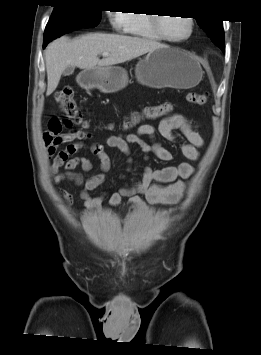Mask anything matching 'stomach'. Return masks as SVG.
<instances>
[{"instance_id": "obj_1", "label": "stomach", "mask_w": 261, "mask_h": 355, "mask_svg": "<svg viewBox=\"0 0 261 355\" xmlns=\"http://www.w3.org/2000/svg\"><path fill=\"white\" fill-rule=\"evenodd\" d=\"M138 81L153 88H181L196 86L202 79L200 63L185 51L163 46L150 51L136 65ZM81 84L95 87L104 93L123 89L128 82L127 71L120 66L96 67L83 73Z\"/></svg>"}]
</instances>
